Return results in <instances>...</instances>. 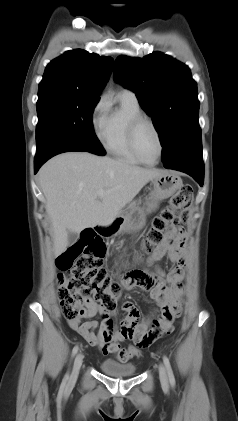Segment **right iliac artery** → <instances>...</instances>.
Instances as JSON below:
<instances>
[{"mask_svg": "<svg viewBox=\"0 0 238 421\" xmlns=\"http://www.w3.org/2000/svg\"><path fill=\"white\" fill-rule=\"evenodd\" d=\"M78 345H76L74 348H73V350H72V356H75L76 355V353L78 352ZM68 377H69V374L67 373L66 375H65V377H64V379H63V382H62V385L63 386H65V384H66V381H67V379H68Z\"/></svg>", "mask_w": 238, "mask_h": 421, "instance_id": "82829eb1", "label": "right iliac artery"}]
</instances>
